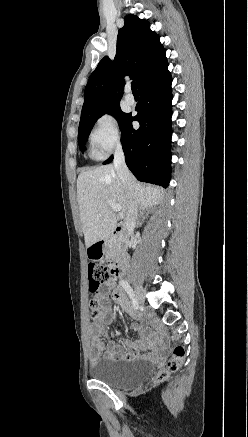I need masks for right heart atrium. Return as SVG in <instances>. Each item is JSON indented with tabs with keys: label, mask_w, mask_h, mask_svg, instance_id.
Returning a JSON list of instances; mask_svg holds the SVG:
<instances>
[{
	"label": "right heart atrium",
	"mask_w": 248,
	"mask_h": 437,
	"mask_svg": "<svg viewBox=\"0 0 248 437\" xmlns=\"http://www.w3.org/2000/svg\"><path fill=\"white\" fill-rule=\"evenodd\" d=\"M89 139L97 156L108 155L121 142V132L116 116L111 112L101 114L91 128Z\"/></svg>",
	"instance_id": "obj_1"
}]
</instances>
